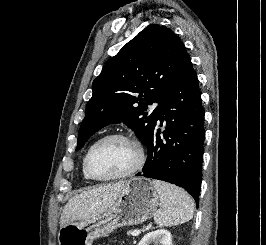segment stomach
<instances>
[{
  "label": "stomach",
  "mask_w": 266,
  "mask_h": 245,
  "mask_svg": "<svg viewBox=\"0 0 266 245\" xmlns=\"http://www.w3.org/2000/svg\"><path fill=\"white\" fill-rule=\"evenodd\" d=\"M158 205V193L151 181L131 177L108 211L86 221L65 225L60 229L58 243L59 245H92L94 239L109 237V233H113L117 227L139 225L151 219Z\"/></svg>",
  "instance_id": "obj_1"
}]
</instances>
